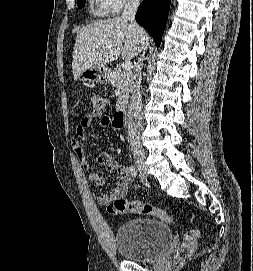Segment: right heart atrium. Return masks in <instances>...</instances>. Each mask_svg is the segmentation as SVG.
<instances>
[{
    "label": "right heart atrium",
    "instance_id": "d8ad5b80",
    "mask_svg": "<svg viewBox=\"0 0 253 271\" xmlns=\"http://www.w3.org/2000/svg\"><path fill=\"white\" fill-rule=\"evenodd\" d=\"M109 13H119L124 7L139 3L140 0H99Z\"/></svg>",
    "mask_w": 253,
    "mask_h": 271
}]
</instances>
